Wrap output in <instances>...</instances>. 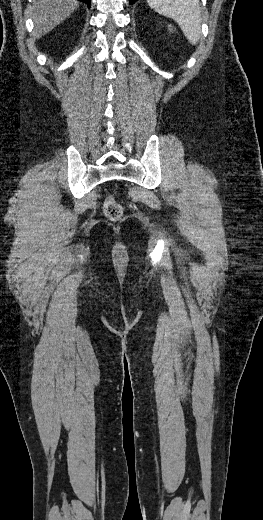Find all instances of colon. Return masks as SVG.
Masks as SVG:
<instances>
[{
  "mask_svg": "<svg viewBox=\"0 0 263 520\" xmlns=\"http://www.w3.org/2000/svg\"><path fill=\"white\" fill-rule=\"evenodd\" d=\"M105 216L112 220L116 221L120 219L123 215V208L119 202H117L113 197H109L104 202L103 206Z\"/></svg>",
  "mask_w": 263,
  "mask_h": 520,
  "instance_id": "5ec220e1",
  "label": "colon"
}]
</instances>
